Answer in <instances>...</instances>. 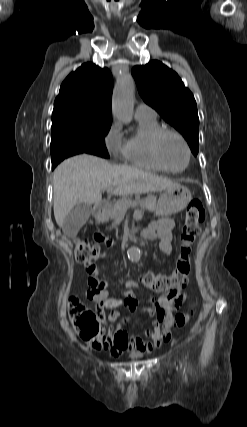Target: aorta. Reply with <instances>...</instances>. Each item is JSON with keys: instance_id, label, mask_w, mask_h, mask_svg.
Masks as SVG:
<instances>
[{"instance_id": "1", "label": "aorta", "mask_w": 247, "mask_h": 427, "mask_svg": "<svg viewBox=\"0 0 247 427\" xmlns=\"http://www.w3.org/2000/svg\"><path fill=\"white\" fill-rule=\"evenodd\" d=\"M135 93V83L130 74L123 73L117 80L113 92V116L124 122L130 123L133 117V101ZM140 250L132 247L128 250V257L131 260L140 258Z\"/></svg>"}]
</instances>
